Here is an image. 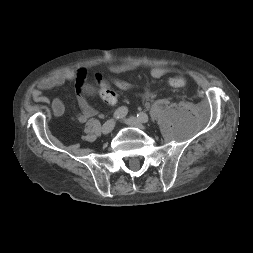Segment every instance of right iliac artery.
Segmentation results:
<instances>
[{"label":"right iliac artery","instance_id":"obj_1","mask_svg":"<svg viewBox=\"0 0 253 253\" xmlns=\"http://www.w3.org/2000/svg\"><path fill=\"white\" fill-rule=\"evenodd\" d=\"M128 113V109L124 106L122 107H119L115 112H114V115L113 117L116 118V119H121L123 117H125Z\"/></svg>","mask_w":253,"mask_h":253}]
</instances>
